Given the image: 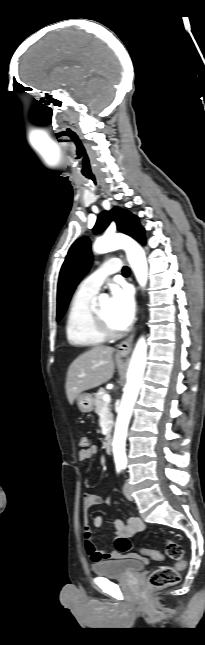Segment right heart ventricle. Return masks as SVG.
<instances>
[{
	"mask_svg": "<svg viewBox=\"0 0 205 645\" xmlns=\"http://www.w3.org/2000/svg\"><path fill=\"white\" fill-rule=\"evenodd\" d=\"M95 294L77 290L73 295L66 318V337L74 346L94 347L106 338L95 328L92 321V308Z\"/></svg>",
	"mask_w": 205,
	"mask_h": 645,
	"instance_id": "1",
	"label": "right heart ventricle"
}]
</instances>
